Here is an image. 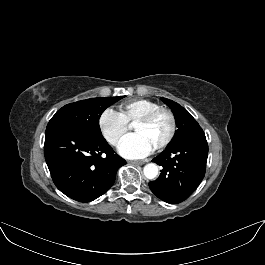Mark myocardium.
I'll list each match as a JSON object with an SVG mask.
<instances>
[{
    "label": "myocardium",
    "mask_w": 265,
    "mask_h": 265,
    "mask_svg": "<svg viewBox=\"0 0 265 265\" xmlns=\"http://www.w3.org/2000/svg\"><path fill=\"white\" fill-rule=\"evenodd\" d=\"M159 114L167 115V117L169 118L170 127L165 139L157 147L153 149L154 152H160L164 150L173 140L177 129V122L174 113L168 108L158 107L156 109L147 112L146 114H144L134 122V125L147 124Z\"/></svg>",
    "instance_id": "obj_1"
}]
</instances>
